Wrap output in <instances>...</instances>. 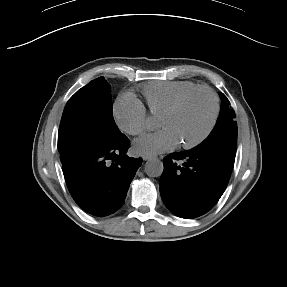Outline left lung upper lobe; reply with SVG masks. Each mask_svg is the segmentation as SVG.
Here are the masks:
<instances>
[{
  "instance_id": "5c2ea615",
  "label": "left lung upper lobe",
  "mask_w": 287,
  "mask_h": 287,
  "mask_svg": "<svg viewBox=\"0 0 287 287\" xmlns=\"http://www.w3.org/2000/svg\"><path fill=\"white\" fill-rule=\"evenodd\" d=\"M220 97L223 103L216 126L207 139L195 148L220 162L231 173L237 147V123L229 100L223 93Z\"/></svg>"
}]
</instances>
